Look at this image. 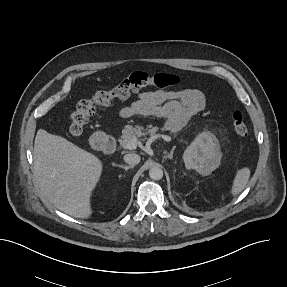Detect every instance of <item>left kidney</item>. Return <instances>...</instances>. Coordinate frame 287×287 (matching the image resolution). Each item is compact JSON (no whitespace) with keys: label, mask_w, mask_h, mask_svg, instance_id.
<instances>
[{"label":"left kidney","mask_w":287,"mask_h":287,"mask_svg":"<svg viewBox=\"0 0 287 287\" xmlns=\"http://www.w3.org/2000/svg\"><path fill=\"white\" fill-rule=\"evenodd\" d=\"M221 156L217 138L210 132H203L185 150L183 160L187 169L207 176L219 167Z\"/></svg>","instance_id":"left-kidney-1"}]
</instances>
